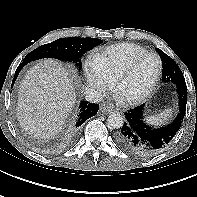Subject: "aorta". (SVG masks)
Here are the masks:
<instances>
[{
	"label": "aorta",
	"mask_w": 197,
	"mask_h": 197,
	"mask_svg": "<svg viewBox=\"0 0 197 197\" xmlns=\"http://www.w3.org/2000/svg\"><path fill=\"white\" fill-rule=\"evenodd\" d=\"M108 125L113 129H119L123 126V118L118 113H112L108 116Z\"/></svg>",
	"instance_id": "aorta-1"
}]
</instances>
